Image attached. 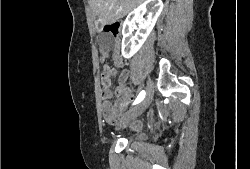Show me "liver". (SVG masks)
I'll list each match as a JSON object with an SVG mask.
<instances>
[{"instance_id": "obj_1", "label": "liver", "mask_w": 250, "mask_h": 169, "mask_svg": "<svg viewBox=\"0 0 250 169\" xmlns=\"http://www.w3.org/2000/svg\"><path fill=\"white\" fill-rule=\"evenodd\" d=\"M88 2L94 14H98L100 22L107 24V22H116L143 0H88Z\"/></svg>"}]
</instances>
